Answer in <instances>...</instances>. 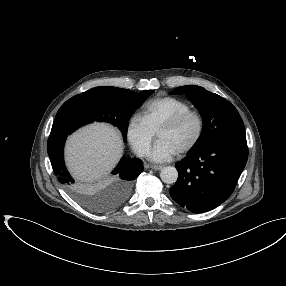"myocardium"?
Returning a JSON list of instances; mask_svg holds the SVG:
<instances>
[{
  "label": "myocardium",
  "instance_id": "1",
  "mask_svg": "<svg viewBox=\"0 0 286 286\" xmlns=\"http://www.w3.org/2000/svg\"><path fill=\"white\" fill-rule=\"evenodd\" d=\"M189 118H195L196 119L197 124H198L197 132H196L195 137L192 139V141L189 144H187L185 147H183L178 152L179 154H185V153L190 152L201 141L203 134H204V130H205V120H204L203 115L197 110H191L190 109L188 111H185L181 114H178V115L170 118L169 120L164 122L157 131V135H158V133L160 131L165 130V129L175 128V127L181 125L182 123H184Z\"/></svg>",
  "mask_w": 286,
  "mask_h": 286
}]
</instances>
